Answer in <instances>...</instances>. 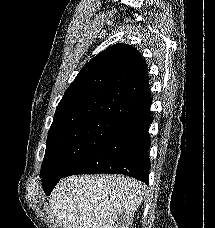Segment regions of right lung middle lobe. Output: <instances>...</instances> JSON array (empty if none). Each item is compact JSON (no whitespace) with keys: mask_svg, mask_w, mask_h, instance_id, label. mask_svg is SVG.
I'll list each match as a JSON object with an SVG mask.
<instances>
[{"mask_svg":"<svg viewBox=\"0 0 215 228\" xmlns=\"http://www.w3.org/2000/svg\"><path fill=\"white\" fill-rule=\"evenodd\" d=\"M126 125L121 120L94 118L48 133L41 167L45 194L50 195L57 182L72 167Z\"/></svg>","mask_w":215,"mask_h":228,"instance_id":"obj_1","label":"right lung middle lobe"}]
</instances>
